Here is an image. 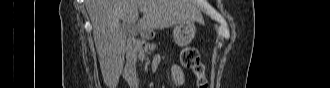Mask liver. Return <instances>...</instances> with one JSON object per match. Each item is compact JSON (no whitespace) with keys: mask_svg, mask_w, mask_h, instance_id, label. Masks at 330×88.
Returning a JSON list of instances; mask_svg holds the SVG:
<instances>
[{"mask_svg":"<svg viewBox=\"0 0 330 88\" xmlns=\"http://www.w3.org/2000/svg\"><path fill=\"white\" fill-rule=\"evenodd\" d=\"M86 7L102 76L109 88H116L124 66L127 35L120 20L134 24L142 34L153 29L203 20L191 0H88ZM141 8L146 11L138 20V9Z\"/></svg>","mask_w":330,"mask_h":88,"instance_id":"obj_1","label":"liver"}]
</instances>
